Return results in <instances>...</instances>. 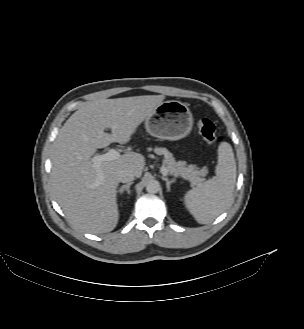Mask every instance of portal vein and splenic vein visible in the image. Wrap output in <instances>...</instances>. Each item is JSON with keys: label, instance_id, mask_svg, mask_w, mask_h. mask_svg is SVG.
Instances as JSON below:
<instances>
[{"label": "portal vein and splenic vein", "instance_id": "1", "mask_svg": "<svg viewBox=\"0 0 304 329\" xmlns=\"http://www.w3.org/2000/svg\"><path fill=\"white\" fill-rule=\"evenodd\" d=\"M120 156L121 155H120L119 151L112 148L104 154L95 155L91 159V162L93 163V166L98 169L103 162L117 160L118 158H120ZM161 172L163 175H167V173H168V170L164 165L161 167Z\"/></svg>", "mask_w": 304, "mask_h": 329}]
</instances>
